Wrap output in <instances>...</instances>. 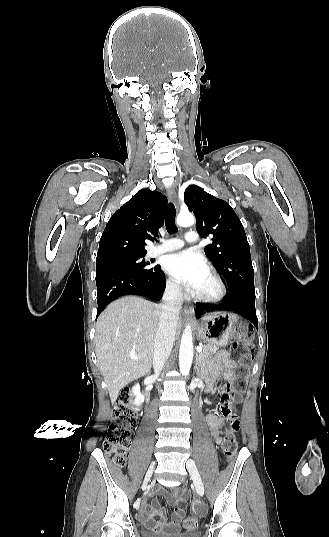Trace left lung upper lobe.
Instances as JSON below:
<instances>
[{
	"mask_svg": "<svg viewBox=\"0 0 329 537\" xmlns=\"http://www.w3.org/2000/svg\"><path fill=\"white\" fill-rule=\"evenodd\" d=\"M184 200L194 212L197 232L203 238L212 237L213 243L204 251L224 277L229 294L255 292L249 243L232 207L196 185L185 190Z\"/></svg>",
	"mask_w": 329,
	"mask_h": 537,
	"instance_id": "1",
	"label": "left lung upper lobe"
}]
</instances>
